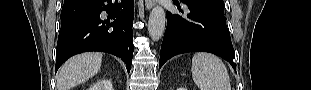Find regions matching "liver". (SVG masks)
I'll use <instances>...</instances> for the list:
<instances>
[{"mask_svg":"<svg viewBox=\"0 0 311 90\" xmlns=\"http://www.w3.org/2000/svg\"><path fill=\"white\" fill-rule=\"evenodd\" d=\"M102 54L88 52L76 55L63 64L57 77L58 90L70 88L84 83L100 70Z\"/></svg>","mask_w":311,"mask_h":90,"instance_id":"obj_1","label":"liver"}]
</instances>
